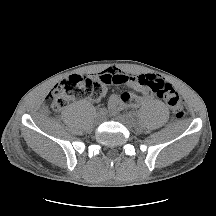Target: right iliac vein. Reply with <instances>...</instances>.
I'll return each instance as SVG.
<instances>
[{
    "label": "right iliac vein",
    "mask_w": 216,
    "mask_h": 216,
    "mask_svg": "<svg viewBox=\"0 0 216 216\" xmlns=\"http://www.w3.org/2000/svg\"><path fill=\"white\" fill-rule=\"evenodd\" d=\"M103 120H104V116L98 113L96 116V122L101 123Z\"/></svg>",
    "instance_id": "63e3f726"
}]
</instances>
